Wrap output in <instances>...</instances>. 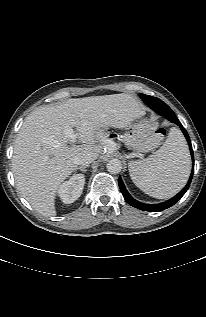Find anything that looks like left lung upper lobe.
I'll use <instances>...</instances> for the list:
<instances>
[{
  "label": "left lung upper lobe",
  "instance_id": "left-lung-upper-lobe-1",
  "mask_svg": "<svg viewBox=\"0 0 206 317\" xmlns=\"http://www.w3.org/2000/svg\"><path fill=\"white\" fill-rule=\"evenodd\" d=\"M140 97L147 105H149L148 101H152V102L159 104L160 106H164L165 108H169V106L167 104H165L159 98L152 97V96L145 95V94H140Z\"/></svg>",
  "mask_w": 206,
  "mask_h": 317
}]
</instances>
